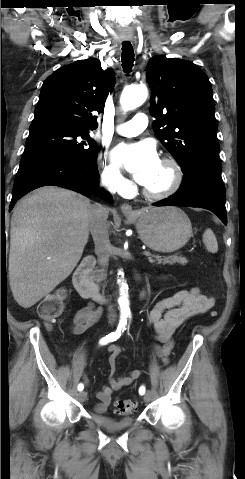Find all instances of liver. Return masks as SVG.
<instances>
[{
	"label": "liver",
	"instance_id": "6515ba94",
	"mask_svg": "<svg viewBox=\"0 0 245 479\" xmlns=\"http://www.w3.org/2000/svg\"><path fill=\"white\" fill-rule=\"evenodd\" d=\"M90 200L46 186L21 199L10 229L9 279L13 297L30 308L74 270L89 238Z\"/></svg>",
	"mask_w": 245,
	"mask_h": 479
}]
</instances>
